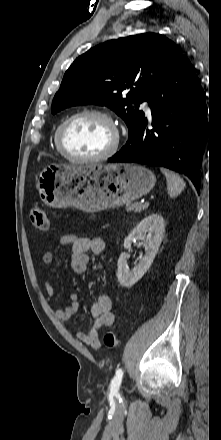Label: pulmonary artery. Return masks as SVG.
Masks as SVG:
<instances>
[{"mask_svg": "<svg viewBox=\"0 0 221 440\" xmlns=\"http://www.w3.org/2000/svg\"><path fill=\"white\" fill-rule=\"evenodd\" d=\"M143 106L145 107V109H146L148 112L151 111V108H150L149 103H148L147 101H145V102L143 103Z\"/></svg>", "mask_w": 221, "mask_h": 440, "instance_id": "e3ab8cb5", "label": "pulmonary artery"}]
</instances>
